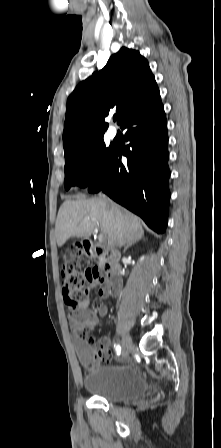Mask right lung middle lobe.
I'll list each match as a JSON object with an SVG mask.
<instances>
[{
	"instance_id": "1",
	"label": "right lung middle lobe",
	"mask_w": 221,
	"mask_h": 448,
	"mask_svg": "<svg viewBox=\"0 0 221 448\" xmlns=\"http://www.w3.org/2000/svg\"><path fill=\"white\" fill-rule=\"evenodd\" d=\"M115 146H105L103 137L96 139L80 152L65 158L66 190L74 185L86 187L99 178L114 151Z\"/></svg>"
}]
</instances>
